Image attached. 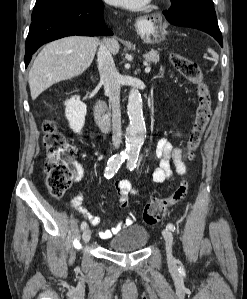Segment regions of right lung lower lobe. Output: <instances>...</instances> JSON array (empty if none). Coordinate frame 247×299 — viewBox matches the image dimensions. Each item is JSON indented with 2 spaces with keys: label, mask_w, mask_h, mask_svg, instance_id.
Here are the masks:
<instances>
[{
  "label": "right lung lower lobe",
  "mask_w": 247,
  "mask_h": 299,
  "mask_svg": "<svg viewBox=\"0 0 247 299\" xmlns=\"http://www.w3.org/2000/svg\"><path fill=\"white\" fill-rule=\"evenodd\" d=\"M103 9L101 0H86L59 6L32 20L25 44V66L47 42L72 35H113L104 23Z\"/></svg>",
  "instance_id": "obj_1"
}]
</instances>
